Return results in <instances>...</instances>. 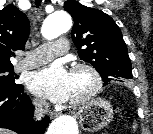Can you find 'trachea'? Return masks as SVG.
Masks as SVG:
<instances>
[{"label": "trachea", "mask_w": 153, "mask_h": 134, "mask_svg": "<svg viewBox=\"0 0 153 134\" xmlns=\"http://www.w3.org/2000/svg\"><path fill=\"white\" fill-rule=\"evenodd\" d=\"M42 0H36V5H39V3L41 2Z\"/></svg>", "instance_id": "obj_1"}]
</instances>
